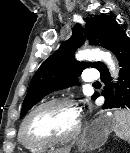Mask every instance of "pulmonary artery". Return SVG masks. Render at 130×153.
I'll list each match as a JSON object with an SVG mask.
<instances>
[{
    "label": "pulmonary artery",
    "instance_id": "pulmonary-artery-1",
    "mask_svg": "<svg viewBox=\"0 0 130 153\" xmlns=\"http://www.w3.org/2000/svg\"><path fill=\"white\" fill-rule=\"evenodd\" d=\"M99 78V72L97 70H88L84 73L83 79L86 83L97 82Z\"/></svg>",
    "mask_w": 130,
    "mask_h": 153
}]
</instances>
